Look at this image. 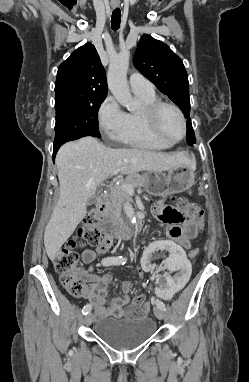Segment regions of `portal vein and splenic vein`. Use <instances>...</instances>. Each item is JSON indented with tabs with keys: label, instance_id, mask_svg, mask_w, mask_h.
<instances>
[{
	"label": "portal vein and splenic vein",
	"instance_id": "18ae733b",
	"mask_svg": "<svg viewBox=\"0 0 249 382\" xmlns=\"http://www.w3.org/2000/svg\"><path fill=\"white\" fill-rule=\"evenodd\" d=\"M119 172H120V169H116V170H114V171L112 172V175H116V174H118ZM122 188H123L125 191H127V192H133V191H134L133 187H132L130 184H123V185H122Z\"/></svg>",
	"mask_w": 249,
	"mask_h": 382
}]
</instances>
